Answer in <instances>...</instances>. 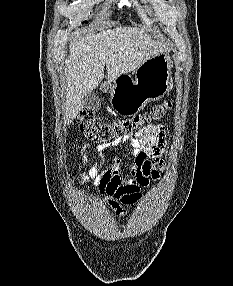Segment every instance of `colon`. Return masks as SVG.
<instances>
[{"label":"colon","mask_w":233,"mask_h":286,"mask_svg":"<svg viewBox=\"0 0 233 286\" xmlns=\"http://www.w3.org/2000/svg\"><path fill=\"white\" fill-rule=\"evenodd\" d=\"M170 101L153 106L148 112L131 119L106 120L90 109L79 114L81 130L84 134L101 143H109L135 136L152 120L161 119L171 108Z\"/></svg>","instance_id":"5ec220e1"}]
</instances>
